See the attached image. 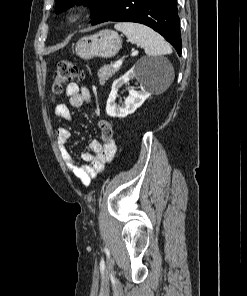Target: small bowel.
I'll use <instances>...</instances> for the list:
<instances>
[{
	"mask_svg": "<svg viewBox=\"0 0 247 296\" xmlns=\"http://www.w3.org/2000/svg\"><path fill=\"white\" fill-rule=\"evenodd\" d=\"M64 95L68 99L69 105L74 108L83 106L90 99L89 91L75 82H71L66 86ZM54 115L66 121H73L70 107L65 103L55 106ZM70 137L69 129L60 127L57 131L58 148L67 169L80 180L82 185L89 186L96 176L103 171L104 165L112 161L116 146L114 143L102 145L99 141L93 140L89 143V151L82 154L83 163H79L67 148Z\"/></svg>",
	"mask_w": 247,
	"mask_h": 296,
	"instance_id": "c3829d8e",
	"label": "small bowel"
}]
</instances>
